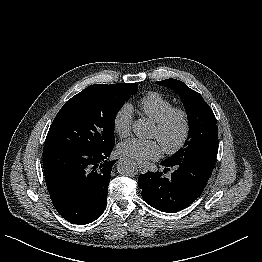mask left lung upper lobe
Masks as SVG:
<instances>
[{"label": "left lung upper lobe", "instance_id": "left-lung-upper-lobe-1", "mask_svg": "<svg viewBox=\"0 0 262 262\" xmlns=\"http://www.w3.org/2000/svg\"><path fill=\"white\" fill-rule=\"evenodd\" d=\"M156 84L171 88L180 96L189 120L188 140L184 148L167 160L215 161L218 150L216 119L203 97L176 79H166Z\"/></svg>", "mask_w": 262, "mask_h": 262}]
</instances>
